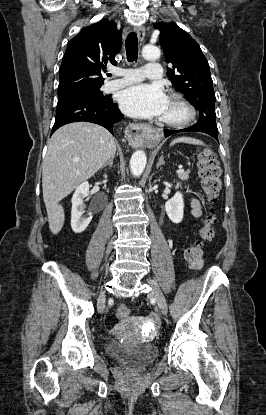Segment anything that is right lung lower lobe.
Masks as SVG:
<instances>
[{"mask_svg":"<svg viewBox=\"0 0 266 415\" xmlns=\"http://www.w3.org/2000/svg\"><path fill=\"white\" fill-rule=\"evenodd\" d=\"M123 118L117 104L111 99L105 103L81 100L61 101L57 104L52 133L65 124L86 121L99 124L113 134L114 124Z\"/></svg>","mask_w":266,"mask_h":415,"instance_id":"obj_1","label":"right lung lower lobe"}]
</instances>
